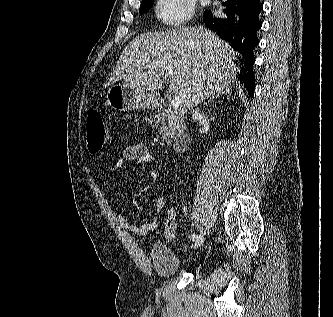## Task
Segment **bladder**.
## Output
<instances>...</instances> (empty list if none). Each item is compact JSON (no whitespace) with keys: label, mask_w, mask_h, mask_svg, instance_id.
Masks as SVG:
<instances>
[{"label":"bladder","mask_w":333,"mask_h":317,"mask_svg":"<svg viewBox=\"0 0 333 317\" xmlns=\"http://www.w3.org/2000/svg\"><path fill=\"white\" fill-rule=\"evenodd\" d=\"M150 258L154 270L161 276H173L183 269L181 259L165 244L154 245Z\"/></svg>","instance_id":"31cf9c89"}]
</instances>
